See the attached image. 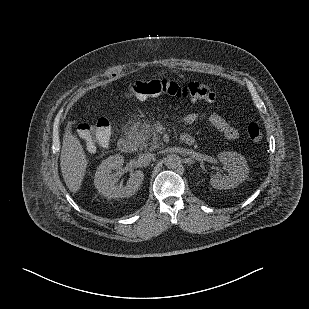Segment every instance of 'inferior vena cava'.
I'll return each mask as SVG.
<instances>
[{
    "mask_svg": "<svg viewBox=\"0 0 309 309\" xmlns=\"http://www.w3.org/2000/svg\"><path fill=\"white\" fill-rule=\"evenodd\" d=\"M153 159H155V154L152 153H142L138 157L139 162L142 164L149 163Z\"/></svg>",
    "mask_w": 309,
    "mask_h": 309,
    "instance_id": "inferior-vena-cava-1",
    "label": "inferior vena cava"
}]
</instances>
